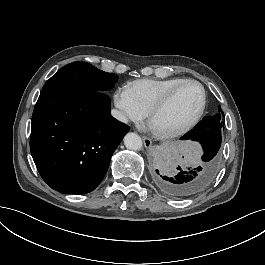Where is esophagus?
<instances>
[{
	"label": "esophagus",
	"instance_id": "34e87169",
	"mask_svg": "<svg viewBox=\"0 0 265 265\" xmlns=\"http://www.w3.org/2000/svg\"><path fill=\"white\" fill-rule=\"evenodd\" d=\"M142 139H143L144 146L146 148H150L152 145V140L147 136H142Z\"/></svg>",
	"mask_w": 265,
	"mask_h": 265
}]
</instances>
